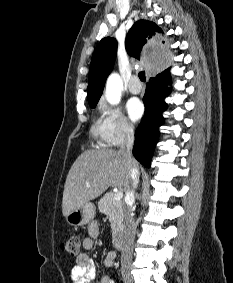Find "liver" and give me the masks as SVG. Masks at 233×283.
<instances>
[{"mask_svg": "<svg viewBox=\"0 0 233 283\" xmlns=\"http://www.w3.org/2000/svg\"><path fill=\"white\" fill-rule=\"evenodd\" d=\"M133 165L126 155L114 150H86L71 166L63 192L62 213L73 210L104 193L110 186L127 188Z\"/></svg>", "mask_w": 233, "mask_h": 283, "instance_id": "6515ba94", "label": "liver"}]
</instances>
